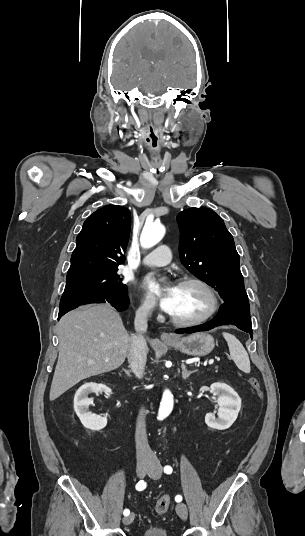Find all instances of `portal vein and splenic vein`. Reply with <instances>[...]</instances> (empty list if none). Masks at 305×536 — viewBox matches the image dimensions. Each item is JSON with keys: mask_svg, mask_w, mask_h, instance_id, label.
I'll return each instance as SVG.
<instances>
[{"mask_svg": "<svg viewBox=\"0 0 305 536\" xmlns=\"http://www.w3.org/2000/svg\"><path fill=\"white\" fill-rule=\"evenodd\" d=\"M214 360H209V364H213Z\"/></svg>", "mask_w": 305, "mask_h": 536, "instance_id": "obj_1", "label": "portal vein and splenic vein"}]
</instances>
